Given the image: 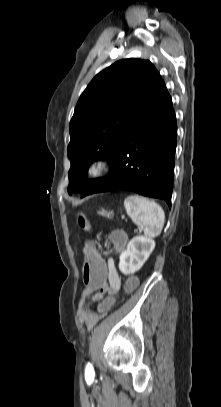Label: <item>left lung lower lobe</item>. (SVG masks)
I'll return each mask as SVG.
<instances>
[{
	"mask_svg": "<svg viewBox=\"0 0 221 407\" xmlns=\"http://www.w3.org/2000/svg\"><path fill=\"white\" fill-rule=\"evenodd\" d=\"M176 136L175 112L162 80L127 128L108 175L82 196L130 190L171 207Z\"/></svg>",
	"mask_w": 221,
	"mask_h": 407,
	"instance_id": "0a47b994",
	"label": "left lung lower lobe"
}]
</instances>
